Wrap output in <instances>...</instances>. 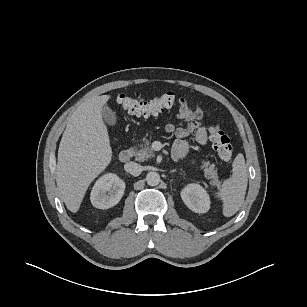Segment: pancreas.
<instances>
[{
	"label": "pancreas",
	"instance_id": "1",
	"mask_svg": "<svg viewBox=\"0 0 307 307\" xmlns=\"http://www.w3.org/2000/svg\"><path fill=\"white\" fill-rule=\"evenodd\" d=\"M149 145L150 141L145 140L143 141V144L140 145V149L135 148V160L143 162L155 156L154 151ZM192 163H194V161H192ZM201 168L203 169L205 176L211 180V185L220 186L221 181L218 179L217 168L214 164H210L209 161H203Z\"/></svg>",
	"mask_w": 307,
	"mask_h": 307
}]
</instances>
